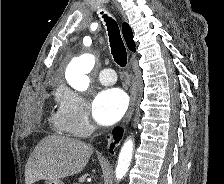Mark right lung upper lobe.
I'll return each instance as SVG.
<instances>
[{
	"mask_svg": "<svg viewBox=\"0 0 224 184\" xmlns=\"http://www.w3.org/2000/svg\"><path fill=\"white\" fill-rule=\"evenodd\" d=\"M122 33L127 43L128 48L135 52V43L133 41V34L130 26L127 23L122 25Z\"/></svg>",
	"mask_w": 224,
	"mask_h": 184,
	"instance_id": "1",
	"label": "right lung upper lobe"
}]
</instances>
